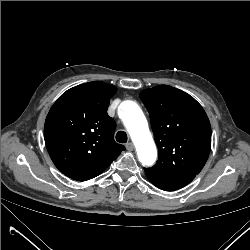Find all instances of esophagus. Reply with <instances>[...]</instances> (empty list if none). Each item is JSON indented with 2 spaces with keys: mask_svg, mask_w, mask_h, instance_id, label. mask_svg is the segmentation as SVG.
<instances>
[{
  "mask_svg": "<svg viewBox=\"0 0 250 250\" xmlns=\"http://www.w3.org/2000/svg\"><path fill=\"white\" fill-rule=\"evenodd\" d=\"M126 149L128 151H132L134 149V144L132 142H129L126 144Z\"/></svg>",
  "mask_w": 250,
  "mask_h": 250,
  "instance_id": "obj_1",
  "label": "esophagus"
}]
</instances>
